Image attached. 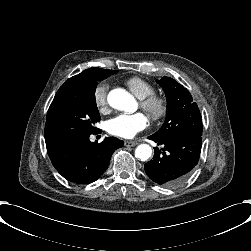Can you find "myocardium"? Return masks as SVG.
<instances>
[{
	"instance_id": "obj_1",
	"label": "myocardium",
	"mask_w": 251,
	"mask_h": 251,
	"mask_svg": "<svg viewBox=\"0 0 251 251\" xmlns=\"http://www.w3.org/2000/svg\"><path fill=\"white\" fill-rule=\"evenodd\" d=\"M140 105L155 120L163 118L168 112L167 99L154 93L141 97Z\"/></svg>"
}]
</instances>
